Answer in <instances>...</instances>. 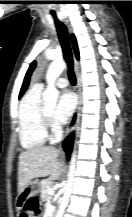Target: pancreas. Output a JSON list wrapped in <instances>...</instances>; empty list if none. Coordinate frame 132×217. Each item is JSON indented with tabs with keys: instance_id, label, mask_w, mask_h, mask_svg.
I'll use <instances>...</instances> for the list:
<instances>
[{
	"instance_id": "obj_1",
	"label": "pancreas",
	"mask_w": 132,
	"mask_h": 217,
	"mask_svg": "<svg viewBox=\"0 0 132 217\" xmlns=\"http://www.w3.org/2000/svg\"><path fill=\"white\" fill-rule=\"evenodd\" d=\"M41 184V200L44 202L50 198L49 191L53 187V182L51 179H43Z\"/></svg>"
}]
</instances>
